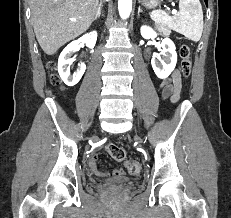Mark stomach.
I'll return each instance as SVG.
<instances>
[{
    "instance_id": "1",
    "label": "stomach",
    "mask_w": 231,
    "mask_h": 218,
    "mask_svg": "<svg viewBox=\"0 0 231 218\" xmlns=\"http://www.w3.org/2000/svg\"><path fill=\"white\" fill-rule=\"evenodd\" d=\"M161 0H140V2L147 8H155Z\"/></svg>"
}]
</instances>
